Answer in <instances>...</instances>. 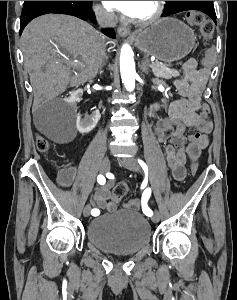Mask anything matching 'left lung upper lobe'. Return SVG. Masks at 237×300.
Instances as JSON below:
<instances>
[{"label": "left lung upper lobe", "instance_id": "obj_1", "mask_svg": "<svg viewBox=\"0 0 237 300\" xmlns=\"http://www.w3.org/2000/svg\"><path fill=\"white\" fill-rule=\"evenodd\" d=\"M193 3H213V1H166V15H172V9L175 6L193 4Z\"/></svg>", "mask_w": 237, "mask_h": 300}]
</instances>
